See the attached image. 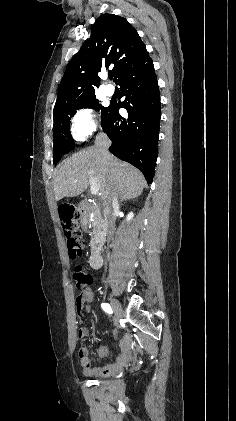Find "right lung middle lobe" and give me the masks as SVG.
I'll list each match as a JSON object with an SVG mask.
<instances>
[{
    "mask_svg": "<svg viewBox=\"0 0 236 421\" xmlns=\"http://www.w3.org/2000/svg\"><path fill=\"white\" fill-rule=\"evenodd\" d=\"M95 95L83 99L75 100L66 103L54 109V125H53V140H54V164L58 163L62 155L71 151L75 144L71 138L69 125L71 117L74 116L76 110L82 108L101 109V118H103L108 107H101L98 104Z\"/></svg>",
    "mask_w": 236,
    "mask_h": 421,
    "instance_id": "dd1d6c3e",
    "label": "right lung middle lobe"
}]
</instances>
